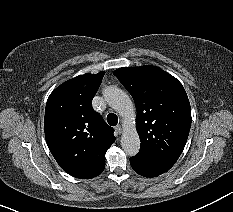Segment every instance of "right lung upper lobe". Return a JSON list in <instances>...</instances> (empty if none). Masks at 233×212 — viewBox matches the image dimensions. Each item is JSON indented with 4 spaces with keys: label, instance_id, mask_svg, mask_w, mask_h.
<instances>
[{
    "label": "right lung upper lobe",
    "instance_id": "1",
    "mask_svg": "<svg viewBox=\"0 0 233 212\" xmlns=\"http://www.w3.org/2000/svg\"><path fill=\"white\" fill-rule=\"evenodd\" d=\"M105 72L84 74L57 87L49 96L44 129L57 163L71 176L91 179L105 168L114 129L92 108Z\"/></svg>",
    "mask_w": 233,
    "mask_h": 212
}]
</instances>
